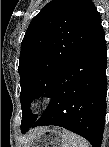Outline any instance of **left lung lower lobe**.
<instances>
[{
    "instance_id": "1",
    "label": "left lung lower lobe",
    "mask_w": 109,
    "mask_h": 147,
    "mask_svg": "<svg viewBox=\"0 0 109 147\" xmlns=\"http://www.w3.org/2000/svg\"><path fill=\"white\" fill-rule=\"evenodd\" d=\"M106 67V43L100 23L66 62L47 109L31 126H61L84 137L93 147H100L106 114Z\"/></svg>"
}]
</instances>
